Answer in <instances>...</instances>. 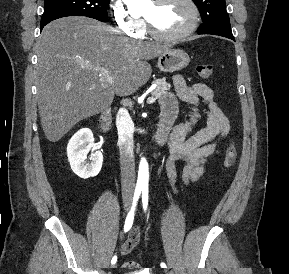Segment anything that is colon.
Wrapping results in <instances>:
<instances>
[{
    "mask_svg": "<svg viewBox=\"0 0 289 274\" xmlns=\"http://www.w3.org/2000/svg\"><path fill=\"white\" fill-rule=\"evenodd\" d=\"M196 70L199 77L204 80H210L213 76L214 69L213 65L210 63L199 64L196 67ZM236 159H237V149L236 146L233 143H231L228 145L226 149L223 166L226 169H232L235 165ZM123 268L128 270H137L139 269V263L134 260H129L123 264Z\"/></svg>",
    "mask_w": 289,
    "mask_h": 274,
    "instance_id": "1",
    "label": "colon"
}]
</instances>
